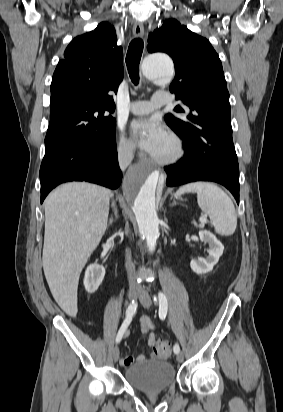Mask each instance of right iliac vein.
Wrapping results in <instances>:
<instances>
[{
  "mask_svg": "<svg viewBox=\"0 0 283 412\" xmlns=\"http://www.w3.org/2000/svg\"><path fill=\"white\" fill-rule=\"evenodd\" d=\"M140 294V289H138V288H130V290H129V292H128V298H129V300H135L137 297H138V295ZM119 354H120V352H119V348H118V346H115L113 349H112V357H113V359H114V361L116 362L118 359H119Z\"/></svg>",
  "mask_w": 283,
  "mask_h": 412,
  "instance_id": "obj_1",
  "label": "right iliac vein"
}]
</instances>
